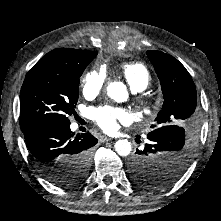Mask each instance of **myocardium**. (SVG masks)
I'll use <instances>...</instances> for the list:
<instances>
[{
    "mask_svg": "<svg viewBox=\"0 0 221 221\" xmlns=\"http://www.w3.org/2000/svg\"><path fill=\"white\" fill-rule=\"evenodd\" d=\"M139 107L143 110H147L149 113L152 111V101L146 96H139L137 98Z\"/></svg>",
    "mask_w": 221,
    "mask_h": 221,
    "instance_id": "obj_1",
    "label": "myocardium"
}]
</instances>
